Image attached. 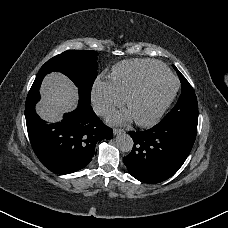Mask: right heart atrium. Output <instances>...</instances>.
Listing matches in <instances>:
<instances>
[{"label":"right heart atrium","instance_id":"d8ad5b80","mask_svg":"<svg viewBox=\"0 0 228 228\" xmlns=\"http://www.w3.org/2000/svg\"><path fill=\"white\" fill-rule=\"evenodd\" d=\"M92 100L95 110L100 114L111 111L113 108L122 105L124 101L110 80H98L95 83Z\"/></svg>","mask_w":228,"mask_h":228}]
</instances>
